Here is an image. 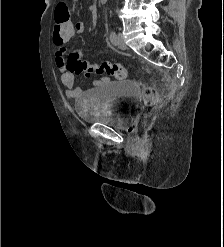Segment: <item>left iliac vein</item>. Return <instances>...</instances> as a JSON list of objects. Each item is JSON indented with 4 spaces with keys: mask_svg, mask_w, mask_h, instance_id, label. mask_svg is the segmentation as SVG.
I'll use <instances>...</instances> for the list:
<instances>
[{
    "mask_svg": "<svg viewBox=\"0 0 224 247\" xmlns=\"http://www.w3.org/2000/svg\"><path fill=\"white\" fill-rule=\"evenodd\" d=\"M116 45L118 48H120L122 50H125L127 48L126 44H125L124 37L121 33H119L116 37Z\"/></svg>",
    "mask_w": 224,
    "mask_h": 247,
    "instance_id": "4c4485c4",
    "label": "left iliac vein"
}]
</instances>
